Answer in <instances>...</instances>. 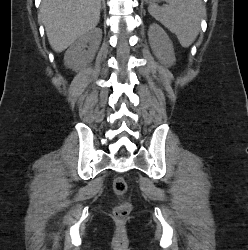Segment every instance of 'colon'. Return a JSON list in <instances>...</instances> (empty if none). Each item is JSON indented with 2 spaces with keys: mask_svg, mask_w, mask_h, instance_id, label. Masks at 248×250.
I'll list each match as a JSON object with an SVG mask.
<instances>
[{
  "mask_svg": "<svg viewBox=\"0 0 248 250\" xmlns=\"http://www.w3.org/2000/svg\"><path fill=\"white\" fill-rule=\"evenodd\" d=\"M112 187L114 193L118 197H124L127 192V182L124 177L118 176L113 179ZM131 211V205L129 202L124 201L119 204L113 211L114 218L117 221L125 220Z\"/></svg>",
  "mask_w": 248,
  "mask_h": 250,
  "instance_id": "5ec220e1",
  "label": "colon"
}]
</instances>
